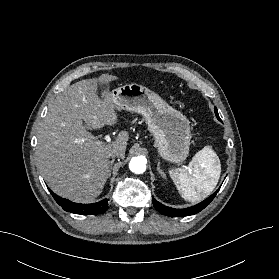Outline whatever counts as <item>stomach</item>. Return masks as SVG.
<instances>
[{"instance_id": "obj_1", "label": "stomach", "mask_w": 279, "mask_h": 279, "mask_svg": "<svg viewBox=\"0 0 279 279\" xmlns=\"http://www.w3.org/2000/svg\"><path fill=\"white\" fill-rule=\"evenodd\" d=\"M119 109L141 114L153 134L159 155L172 163L183 162L191 140L188 119L149 88L132 83L111 91Z\"/></svg>"}]
</instances>
